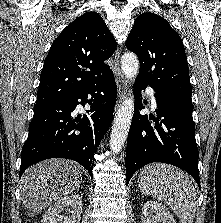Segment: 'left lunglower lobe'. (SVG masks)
<instances>
[{"mask_svg": "<svg viewBox=\"0 0 221 223\" xmlns=\"http://www.w3.org/2000/svg\"><path fill=\"white\" fill-rule=\"evenodd\" d=\"M146 84L136 80L134 84V115L130 126L126 151V185L133 174L152 162L174 165L189 173L200 187L198 149L195 141V125L192 118L194 106L181 99L155 93L157 102L156 126H151L148 116L141 115L144 108L140 91Z\"/></svg>", "mask_w": 221, "mask_h": 223, "instance_id": "left-lung-lower-lobe-1", "label": "left lung lower lobe"}]
</instances>
